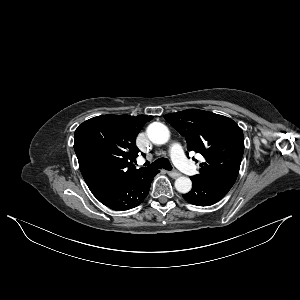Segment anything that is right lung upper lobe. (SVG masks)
Here are the masks:
<instances>
[{"mask_svg": "<svg viewBox=\"0 0 300 300\" xmlns=\"http://www.w3.org/2000/svg\"><path fill=\"white\" fill-rule=\"evenodd\" d=\"M152 118L147 115H102L83 122L76 129L74 150L91 192L152 172L136 169L132 164L139 152L136 137Z\"/></svg>", "mask_w": 300, "mask_h": 300, "instance_id": "right-lung-upper-lobe-1", "label": "right lung upper lobe"}]
</instances>
